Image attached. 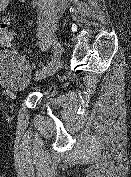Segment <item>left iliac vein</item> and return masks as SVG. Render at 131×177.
Here are the masks:
<instances>
[{"mask_svg":"<svg viewBox=\"0 0 131 177\" xmlns=\"http://www.w3.org/2000/svg\"><path fill=\"white\" fill-rule=\"evenodd\" d=\"M54 49H55V55L53 56L54 63L51 66H47V69L43 71L42 73L37 74L35 80L40 81L42 79H45L47 77H50L56 73L58 70L60 63H61V45L58 42L54 43Z\"/></svg>","mask_w":131,"mask_h":177,"instance_id":"obj_1","label":"left iliac vein"}]
</instances>
